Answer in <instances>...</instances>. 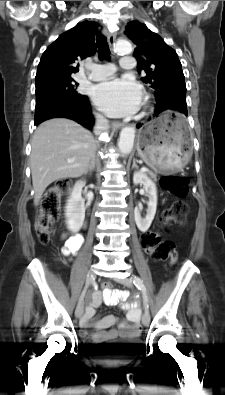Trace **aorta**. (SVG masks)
<instances>
[{
	"label": "aorta",
	"mask_w": 225,
	"mask_h": 395,
	"mask_svg": "<svg viewBox=\"0 0 225 395\" xmlns=\"http://www.w3.org/2000/svg\"><path fill=\"white\" fill-rule=\"evenodd\" d=\"M133 48L129 41L125 39H120L115 44V52L119 54H130ZM135 138V128L134 127H124L120 132V137L118 140V148L123 155H127L131 152L134 145Z\"/></svg>",
	"instance_id": "762f6f07"
}]
</instances>
